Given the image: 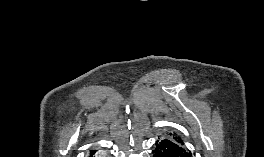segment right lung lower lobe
<instances>
[{
    "instance_id": "right-lung-lower-lobe-1",
    "label": "right lung lower lobe",
    "mask_w": 264,
    "mask_h": 157,
    "mask_svg": "<svg viewBox=\"0 0 264 157\" xmlns=\"http://www.w3.org/2000/svg\"><path fill=\"white\" fill-rule=\"evenodd\" d=\"M88 157H107V156L97 155L95 150H91L90 155Z\"/></svg>"
}]
</instances>
